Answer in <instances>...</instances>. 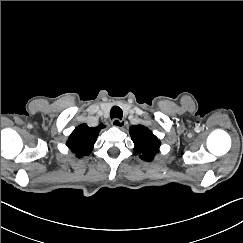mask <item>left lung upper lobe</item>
<instances>
[{"label": "left lung upper lobe", "instance_id": "5c2ea615", "mask_svg": "<svg viewBox=\"0 0 243 243\" xmlns=\"http://www.w3.org/2000/svg\"><path fill=\"white\" fill-rule=\"evenodd\" d=\"M129 131L135 144L134 151L141 155V159L152 161L155 154L159 152L161 144L157 137L142 125L132 126Z\"/></svg>", "mask_w": 243, "mask_h": 243}]
</instances>
